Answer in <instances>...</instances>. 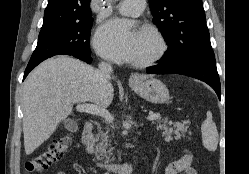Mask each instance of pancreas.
<instances>
[{"label": "pancreas", "mask_w": 249, "mask_h": 174, "mask_svg": "<svg viewBox=\"0 0 249 174\" xmlns=\"http://www.w3.org/2000/svg\"><path fill=\"white\" fill-rule=\"evenodd\" d=\"M155 124L158 130H163L162 135L168 140H173V135L175 140L185 137V133L188 129V126L182 123H175L173 127H169L173 123L167 118L159 119ZM91 151L96 155L98 160L104 161V165L109 164L111 161L110 157L112 156L111 152L113 151V148L110 145L109 135L107 132H99L96 135L94 139V146L92 147ZM99 165L104 166L103 164Z\"/></svg>", "instance_id": "pancreas-1"}]
</instances>
